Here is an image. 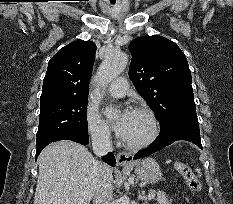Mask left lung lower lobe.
Instances as JSON below:
<instances>
[{
    "instance_id": "0a47b994",
    "label": "left lung lower lobe",
    "mask_w": 233,
    "mask_h": 204,
    "mask_svg": "<svg viewBox=\"0 0 233 204\" xmlns=\"http://www.w3.org/2000/svg\"><path fill=\"white\" fill-rule=\"evenodd\" d=\"M178 140L192 142L202 149L198 123L179 122L171 125L166 130H160V135L156 140L148 148L138 152L134 159L149 156Z\"/></svg>"
}]
</instances>
